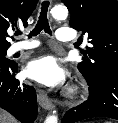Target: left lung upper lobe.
Wrapping results in <instances>:
<instances>
[{"instance_id":"1","label":"left lung upper lobe","mask_w":118,"mask_h":123,"mask_svg":"<svg viewBox=\"0 0 118 123\" xmlns=\"http://www.w3.org/2000/svg\"><path fill=\"white\" fill-rule=\"evenodd\" d=\"M71 13L70 26L82 31L91 47H86L80 72L90 81L102 72L118 68V1L61 0ZM88 54V56L86 55Z\"/></svg>"}]
</instances>
